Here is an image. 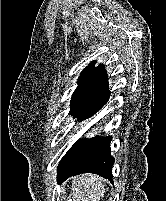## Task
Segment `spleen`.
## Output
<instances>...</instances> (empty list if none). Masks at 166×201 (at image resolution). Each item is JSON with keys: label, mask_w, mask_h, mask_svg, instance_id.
Here are the masks:
<instances>
[{"label": "spleen", "mask_w": 166, "mask_h": 201, "mask_svg": "<svg viewBox=\"0 0 166 201\" xmlns=\"http://www.w3.org/2000/svg\"><path fill=\"white\" fill-rule=\"evenodd\" d=\"M105 194L101 178L96 175H84L74 182L73 201H100Z\"/></svg>", "instance_id": "spleen-1"}]
</instances>
